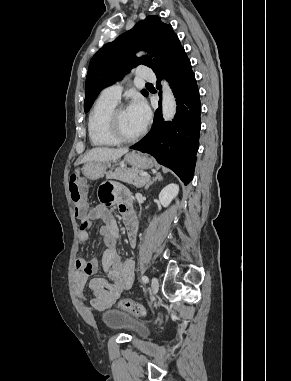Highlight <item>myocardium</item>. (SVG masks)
Listing matches in <instances>:
<instances>
[{
    "instance_id": "f54148a6",
    "label": "myocardium",
    "mask_w": 291,
    "mask_h": 381,
    "mask_svg": "<svg viewBox=\"0 0 291 381\" xmlns=\"http://www.w3.org/2000/svg\"><path fill=\"white\" fill-rule=\"evenodd\" d=\"M127 109L125 105L119 104L116 105L108 114L107 121H106V129L108 134L118 143H132L140 138L143 137V135L146 132V128L144 127L137 135L132 137L124 136L120 129L118 124V117L119 114Z\"/></svg>"
}]
</instances>
